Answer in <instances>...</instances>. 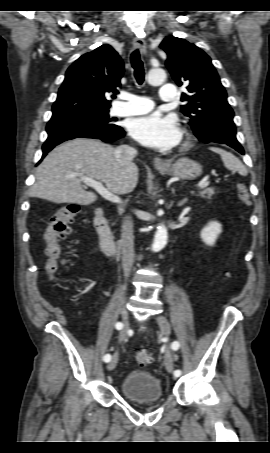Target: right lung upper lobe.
I'll return each mask as SVG.
<instances>
[{"mask_svg": "<svg viewBox=\"0 0 270 453\" xmlns=\"http://www.w3.org/2000/svg\"><path fill=\"white\" fill-rule=\"evenodd\" d=\"M123 71L122 59L108 44L82 55L66 72L52 118L108 110L111 104L105 93L117 92Z\"/></svg>", "mask_w": 270, "mask_h": 453, "instance_id": "obj_1", "label": "right lung upper lobe"}]
</instances>
